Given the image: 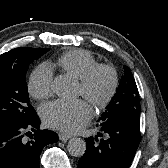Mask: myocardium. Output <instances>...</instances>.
I'll return each instance as SVG.
<instances>
[{"instance_id":"1","label":"myocardium","mask_w":168,"mask_h":168,"mask_svg":"<svg viewBox=\"0 0 168 168\" xmlns=\"http://www.w3.org/2000/svg\"><path fill=\"white\" fill-rule=\"evenodd\" d=\"M101 74L106 75L108 88L104 94L98 96L94 93V85ZM80 85L83 90L82 95L97 109H104L111 103L117 92V72L111 65L97 64L80 79Z\"/></svg>"}]
</instances>
